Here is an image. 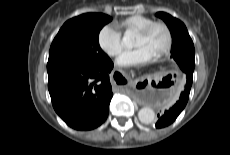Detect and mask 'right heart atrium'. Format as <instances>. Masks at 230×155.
Segmentation results:
<instances>
[{
    "instance_id": "1",
    "label": "right heart atrium",
    "mask_w": 230,
    "mask_h": 155,
    "mask_svg": "<svg viewBox=\"0 0 230 155\" xmlns=\"http://www.w3.org/2000/svg\"><path fill=\"white\" fill-rule=\"evenodd\" d=\"M97 42L100 49L109 57L118 56L124 48L121 33L112 25H105L100 29Z\"/></svg>"
}]
</instances>
